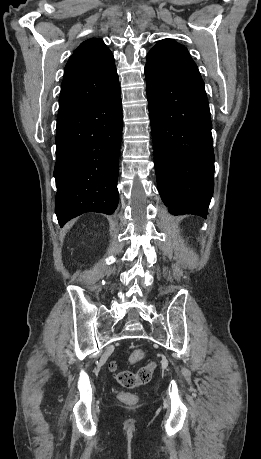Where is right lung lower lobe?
<instances>
[{"label":"right lung lower lobe","instance_id":"1","mask_svg":"<svg viewBox=\"0 0 261 459\" xmlns=\"http://www.w3.org/2000/svg\"><path fill=\"white\" fill-rule=\"evenodd\" d=\"M122 137L120 85L78 112L57 120L55 212L63 226L85 212L112 214Z\"/></svg>","mask_w":261,"mask_h":459}]
</instances>
